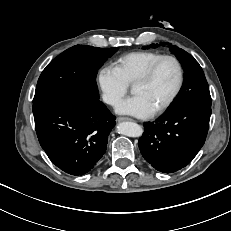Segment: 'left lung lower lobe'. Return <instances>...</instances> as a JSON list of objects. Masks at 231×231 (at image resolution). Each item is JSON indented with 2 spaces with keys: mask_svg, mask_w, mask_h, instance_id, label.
<instances>
[{
  "mask_svg": "<svg viewBox=\"0 0 231 231\" xmlns=\"http://www.w3.org/2000/svg\"><path fill=\"white\" fill-rule=\"evenodd\" d=\"M211 107L189 104L169 108L154 122L144 123L139 149L156 170L173 173L189 164L203 146Z\"/></svg>",
  "mask_w": 231,
  "mask_h": 231,
  "instance_id": "1",
  "label": "left lung lower lobe"
}]
</instances>
